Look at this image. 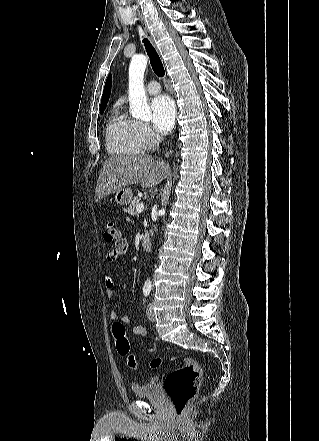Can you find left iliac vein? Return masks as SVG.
<instances>
[{
  "label": "left iliac vein",
  "instance_id": "1",
  "mask_svg": "<svg viewBox=\"0 0 319 441\" xmlns=\"http://www.w3.org/2000/svg\"><path fill=\"white\" fill-rule=\"evenodd\" d=\"M147 317L150 321H155L156 319L152 303H149L147 306Z\"/></svg>",
  "mask_w": 319,
  "mask_h": 441
}]
</instances>
